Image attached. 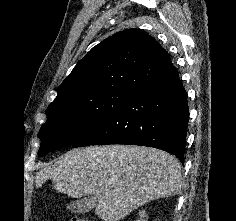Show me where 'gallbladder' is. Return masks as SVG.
Listing matches in <instances>:
<instances>
[{"label": "gallbladder", "mask_w": 236, "mask_h": 221, "mask_svg": "<svg viewBox=\"0 0 236 221\" xmlns=\"http://www.w3.org/2000/svg\"><path fill=\"white\" fill-rule=\"evenodd\" d=\"M95 205V197L92 195H88L86 197L70 202V204L67 205V209L72 213L83 214L93 210L95 208Z\"/></svg>", "instance_id": "1"}]
</instances>
